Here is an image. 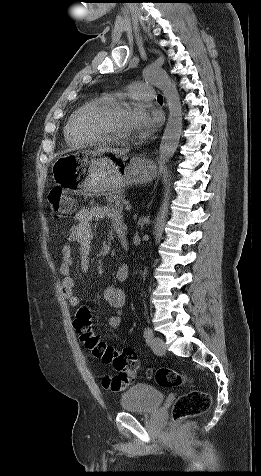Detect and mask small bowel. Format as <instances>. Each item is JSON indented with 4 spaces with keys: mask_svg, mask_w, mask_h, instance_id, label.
<instances>
[{
    "mask_svg": "<svg viewBox=\"0 0 261 476\" xmlns=\"http://www.w3.org/2000/svg\"><path fill=\"white\" fill-rule=\"evenodd\" d=\"M109 219L112 221L116 232L125 229L122 216L119 211L108 206H91L78 210L75 214L76 223L70 228L67 243L61 249L62 260L60 273L63 276L62 293L72 307L80 305V298L75 295V279L72 276L73 249L71 244L78 246L79 267L82 273H86L90 267L91 245L96 231V221ZM118 281H124L128 277V268L120 266L115 273ZM105 302L116 309V312L109 316L108 325L111 328H118L122 324L123 310L126 297L122 289L116 286H109L103 292Z\"/></svg>",
    "mask_w": 261,
    "mask_h": 476,
    "instance_id": "obj_1",
    "label": "small bowel"
}]
</instances>
